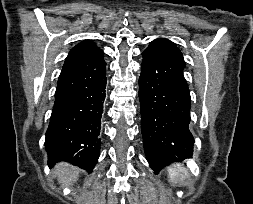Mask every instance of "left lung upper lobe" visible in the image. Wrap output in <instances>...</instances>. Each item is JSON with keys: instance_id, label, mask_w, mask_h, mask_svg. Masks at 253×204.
Wrapping results in <instances>:
<instances>
[{"instance_id": "obj_1", "label": "left lung upper lobe", "mask_w": 253, "mask_h": 204, "mask_svg": "<svg viewBox=\"0 0 253 204\" xmlns=\"http://www.w3.org/2000/svg\"><path fill=\"white\" fill-rule=\"evenodd\" d=\"M150 45H158V46L165 47L166 49L171 50V51L177 53L178 55L182 56V53L176 47V45L173 42H171V41H169L167 39H163V38L156 39V40L152 41L150 43Z\"/></svg>"}]
</instances>
